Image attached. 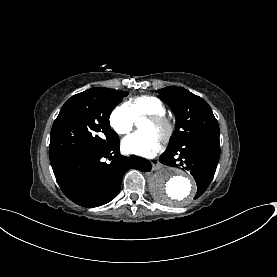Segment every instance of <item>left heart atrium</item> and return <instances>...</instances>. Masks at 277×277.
<instances>
[{
  "mask_svg": "<svg viewBox=\"0 0 277 277\" xmlns=\"http://www.w3.org/2000/svg\"><path fill=\"white\" fill-rule=\"evenodd\" d=\"M161 146L159 136L147 131L136 132L122 140L125 151L147 157L157 153Z\"/></svg>",
  "mask_w": 277,
  "mask_h": 277,
  "instance_id": "left-heart-atrium-1",
  "label": "left heart atrium"
}]
</instances>
